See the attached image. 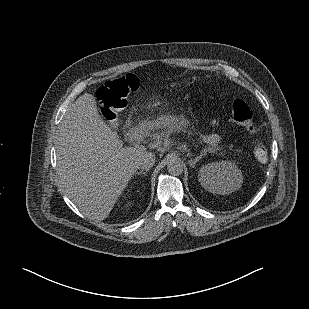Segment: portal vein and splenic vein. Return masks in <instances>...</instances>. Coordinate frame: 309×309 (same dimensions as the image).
I'll list each match as a JSON object with an SVG mask.
<instances>
[{"mask_svg": "<svg viewBox=\"0 0 309 309\" xmlns=\"http://www.w3.org/2000/svg\"><path fill=\"white\" fill-rule=\"evenodd\" d=\"M162 144L161 141L157 140V141H153L151 143H149L148 147L151 149L157 148Z\"/></svg>", "mask_w": 309, "mask_h": 309, "instance_id": "obj_1", "label": "portal vein and splenic vein"}]
</instances>
